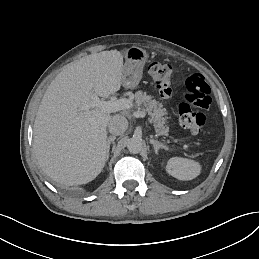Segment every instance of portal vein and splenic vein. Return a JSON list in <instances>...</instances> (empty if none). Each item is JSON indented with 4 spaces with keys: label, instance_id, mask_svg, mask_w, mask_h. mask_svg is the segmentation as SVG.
<instances>
[{
    "label": "portal vein and splenic vein",
    "instance_id": "obj_1",
    "mask_svg": "<svg viewBox=\"0 0 259 259\" xmlns=\"http://www.w3.org/2000/svg\"><path fill=\"white\" fill-rule=\"evenodd\" d=\"M91 95H92L93 101L81 105L77 110L78 112L87 111L91 107H98V108H101L102 110H105L106 112L110 113V112H117L122 109H128V108L132 107V102L128 101L126 99H119V100L112 99V100L103 102L94 93V91H91ZM138 117H141V115H138Z\"/></svg>",
    "mask_w": 259,
    "mask_h": 259
}]
</instances>
